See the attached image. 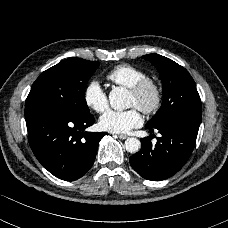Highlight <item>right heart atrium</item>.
<instances>
[{
    "instance_id": "right-heart-atrium-1",
    "label": "right heart atrium",
    "mask_w": 228,
    "mask_h": 228,
    "mask_svg": "<svg viewBox=\"0 0 228 228\" xmlns=\"http://www.w3.org/2000/svg\"><path fill=\"white\" fill-rule=\"evenodd\" d=\"M83 100L86 106L97 113H102L108 108V94L100 80L91 79L83 90Z\"/></svg>"
}]
</instances>
